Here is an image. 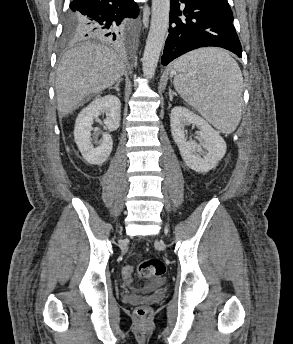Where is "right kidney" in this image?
I'll use <instances>...</instances> for the list:
<instances>
[{"label":"right kidney","instance_id":"1","mask_svg":"<svg viewBox=\"0 0 293 344\" xmlns=\"http://www.w3.org/2000/svg\"><path fill=\"white\" fill-rule=\"evenodd\" d=\"M121 102L114 95L95 98L77 116L74 128V138L83 158L92 165L103 164L113 148L109 134H104L100 145L94 147L91 140L92 124L102 113L106 115L104 124L110 131L120 126Z\"/></svg>","mask_w":293,"mask_h":344}]
</instances>
